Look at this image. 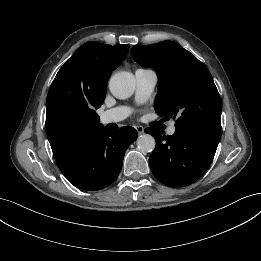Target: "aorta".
Segmentation results:
<instances>
[{"instance_id": "1", "label": "aorta", "mask_w": 261, "mask_h": 261, "mask_svg": "<svg viewBox=\"0 0 261 261\" xmlns=\"http://www.w3.org/2000/svg\"><path fill=\"white\" fill-rule=\"evenodd\" d=\"M109 89L116 98L127 99L134 93L135 78L129 72H118L110 78ZM155 145V139L150 134H142L137 139V147L141 152H152Z\"/></svg>"}]
</instances>
